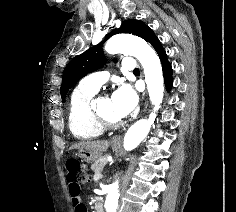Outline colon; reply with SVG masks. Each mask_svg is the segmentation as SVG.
<instances>
[{"label":"colon","mask_w":236,"mask_h":212,"mask_svg":"<svg viewBox=\"0 0 236 212\" xmlns=\"http://www.w3.org/2000/svg\"><path fill=\"white\" fill-rule=\"evenodd\" d=\"M66 167L68 171L67 175H76L77 179H80V185H85L89 181L86 168L80 161L76 159L68 160Z\"/></svg>","instance_id":"colon-1"}]
</instances>
